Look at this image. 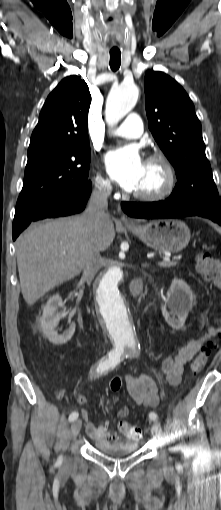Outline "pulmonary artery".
I'll list each match as a JSON object with an SVG mask.
<instances>
[{"instance_id": "e3ab8cb5", "label": "pulmonary artery", "mask_w": 221, "mask_h": 510, "mask_svg": "<svg viewBox=\"0 0 221 510\" xmlns=\"http://www.w3.org/2000/svg\"><path fill=\"white\" fill-rule=\"evenodd\" d=\"M142 133V120L138 114L132 113L119 127L113 131L112 136L125 139H135L138 138Z\"/></svg>"}]
</instances>
